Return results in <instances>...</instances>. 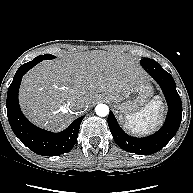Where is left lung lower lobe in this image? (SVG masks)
<instances>
[{
    "mask_svg": "<svg viewBox=\"0 0 193 193\" xmlns=\"http://www.w3.org/2000/svg\"><path fill=\"white\" fill-rule=\"evenodd\" d=\"M142 67L160 85L168 103V114L162 128L155 134L136 138L126 134L112 112L108 115L109 129L116 144L123 150L138 155H150L161 150L176 134L182 119V103L172 76L152 59L141 61Z\"/></svg>",
    "mask_w": 193,
    "mask_h": 193,
    "instance_id": "0a47b994",
    "label": "left lung lower lobe"
}]
</instances>
